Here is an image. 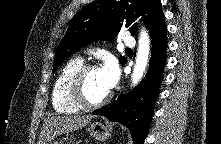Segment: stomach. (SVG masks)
Wrapping results in <instances>:
<instances>
[{
	"mask_svg": "<svg viewBox=\"0 0 221 144\" xmlns=\"http://www.w3.org/2000/svg\"><path fill=\"white\" fill-rule=\"evenodd\" d=\"M88 132L91 137L97 139V140H106L110 137L111 135V125L109 123H101L98 121H95L91 123V125L88 128ZM65 141H67L68 144L72 143V138L68 139L65 138ZM53 144H62L61 142H54Z\"/></svg>",
	"mask_w": 221,
	"mask_h": 144,
	"instance_id": "stomach-1",
	"label": "stomach"
}]
</instances>
